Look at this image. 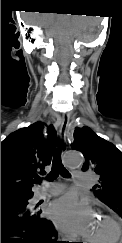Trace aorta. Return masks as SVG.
<instances>
[{"label":"aorta","mask_w":122,"mask_h":243,"mask_svg":"<svg viewBox=\"0 0 122 243\" xmlns=\"http://www.w3.org/2000/svg\"><path fill=\"white\" fill-rule=\"evenodd\" d=\"M83 161L82 155L79 152L71 151L65 157V163L68 167H78Z\"/></svg>","instance_id":"762f6f07"}]
</instances>
